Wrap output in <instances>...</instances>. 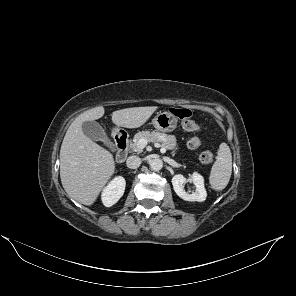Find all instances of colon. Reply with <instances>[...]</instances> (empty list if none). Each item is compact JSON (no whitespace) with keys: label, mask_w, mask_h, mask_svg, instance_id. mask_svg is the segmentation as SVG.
Here are the masks:
<instances>
[{"label":"colon","mask_w":296,"mask_h":296,"mask_svg":"<svg viewBox=\"0 0 296 296\" xmlns=\"http://www.w3.org/2000/svg\"><path fill=\"white\" fill-rule=\"evenodd\" d=\"M171 113L182 120V127L188 132L200 131V126L192 119V112L187 108L174 107L170 109ZM188 148L196 150L201 146V141L198 137H192L187 142ZM214 159L213 153L204 151L199 155V160L202 163H211Z\"/></svg>","instance_id":"1"}]
</instances>
